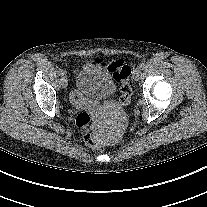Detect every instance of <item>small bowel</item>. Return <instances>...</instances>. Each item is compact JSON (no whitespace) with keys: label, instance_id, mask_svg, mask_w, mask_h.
Segmentation results:
<instances>
[{"label":"small bowel","instance_id":"obj_1","mask_svg":"<svg viewBox=\"0 0 207 207\" xmlns=\"http://www.w3.org/2000/svg\"><path fill=\"white\" fill-rule=\"evenodd\" d=\"M71 100L74 106L78 109L96 110L98 107L97 103L88 102L85 99L81 98L77 93H73L71 95Z\"/></svg>","mask_w":207,"mask_h":207}]
</instances>
